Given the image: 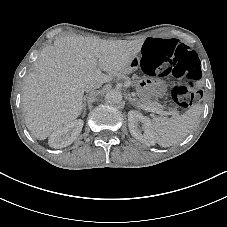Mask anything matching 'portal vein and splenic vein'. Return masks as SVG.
Returning a JSON list of instances; mask_svg holds the SVG:
<instances>
[{"instance_id": "1", "label": "portal vein and splenic vein", "mask_w": 227, "mask_h": 227, "mask_svg": "<svg viewBox=\"0 0 227 227\" xmlns=\"http://www.w3.org/2000/svg\"><path fill=\"white\" fill-rule=\"evenodd\" d=\"M148 110L153 111L155 113L160 114L161 116H177L178 115V111L174 110V111H161L159 108H151L149 107Z\"/></svg>"}]
</instances>
